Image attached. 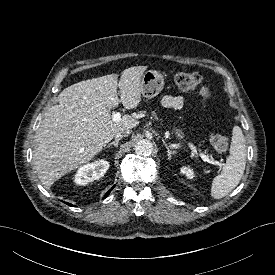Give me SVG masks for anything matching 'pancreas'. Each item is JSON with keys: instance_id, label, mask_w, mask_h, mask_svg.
Instances as JSON below:
<instances>
[{"instance_id": "1", "label": "pancreas", "mask_w": 275, "mask_h": 275, "mask_svg": "<svg viewBox=\"0 0 275 275\" xmlns=\"http://www.w3.org/2000/svg\"><path fill=\"white\" fill-rule=\"evenodd\" d=\"M152 115L156 117V113L154 111L152 112Z\"/></svg>"}]
</instances>
